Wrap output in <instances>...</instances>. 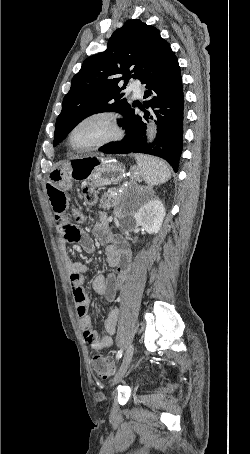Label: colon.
Segmentation results:
<instances>
[{
    "label": "colon",
    "instance_id": "colon-1",
    "mask_svg": "<svg viewBox=\"0 0 250 454\" xmlns=\"http://www.w3.org/2000/svg\"><path fill=\"white\" fill-rule=\"evenodd\" d=\"M83 200L88 205L95 204L97 201L96 190L90 187L85 188L83 190ZM92 367L101 379H107L115 370V366L112 361L108 357L101 354H94L92 356Z\"/></svg>",
    "mask_w": 250,
    "mask_h": 454
}]
</instances>
